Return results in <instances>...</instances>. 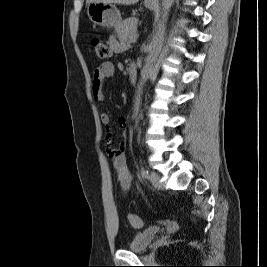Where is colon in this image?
<instances>
[{"mask_svg": "<svg viewBox=\"0 0 267 267\" xmlns=\"http://www.w3.org/2000/svg\"><path fill=\"white\" fill-rule=\"evenodd\" d=\"M93 47L96 52V55L99 58L105 59L111 56L110 47L107 44L100 41L99 39H95L93 41ZM128 219H129L130 224L134 228H141L143 226V221L138 215L130 214L128 216Z\"/></svg>", "mask_w": 267, "mask_h": 267, "instance_id": "colon-1", "label": "colon"}]
</instances>
